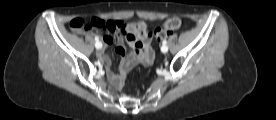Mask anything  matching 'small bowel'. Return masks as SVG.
Returning a JSON list of instances; mask_svg holds the SVG:
<instances>
[{"instance_id":"small-bowel-1","label":"small bowel","mask_w":276,"mask_h":120,"mask_svg":"<svg viewBox=\"0 0 276 120\" xmlns=\"http://www.w3.org/2000/svg\"><path fill=\"white\" fill-rule=\"evenodd\" d=\"M109 27L105 30L106 35L102 37V41L105 45H111L114 42L113 35L121 33L122 22L120 21H108ZM127 43L131 48V52L127 53V49L124 43V39L121 36L117 38V54L122 58L119 66V74L111 75L110 80L118 84L122 77L138 62L143 64H150L154 57V51L151 46V40L148 37L143 39H127ZM99 58L108 63V59L103 51L98 53Z\"/></svg>"}]
</instances>
